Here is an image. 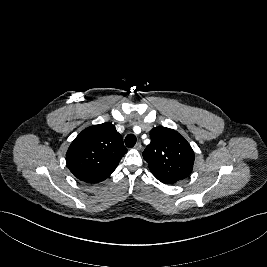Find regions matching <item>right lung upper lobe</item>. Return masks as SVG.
I'll return each mask as SVG.
<instances>
[{
    "mask_svg": "<svg viewBox=\"0 0 267 267\" xmlns=\"http://www.w3.org/2000/svg\"><path fill=\"white\" fill-rule=\"evenodd\" d=\"M126 152L122 136L107 122L84 129L69 146L66 162L79 180L97 183L112 174Z\"/></svg>",
    "mask_w": 267,
    "mask_h": 267,
    "instance_id": "right-lung-upper-lobe-1",
    "label": "right lung upper lobe"
}]
</instances>
